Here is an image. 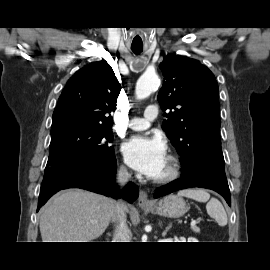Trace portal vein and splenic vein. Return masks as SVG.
<instances>
[{"label":"portal vein and splenic vein","mask_w":270,"mask_h":270,"mask_svg":"<svg viewBox=\"0 0 270 270\" xmlns=\"http://www.w3.org/2000/svg\"><path fill=\"white\" fill-rule=\"evenodd\" d=\"M196 223H197L196 220H192V221H191V227H192V226H195Z\"/></svg>","instance_id":"1"}]
</instances>
